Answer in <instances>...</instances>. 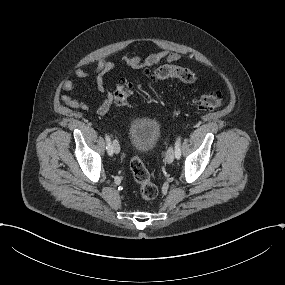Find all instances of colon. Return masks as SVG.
<instances>
[{
	"label": "colon",
	"instance_id": "1",
	"mask_svg": "<svg viewBox=\"0 0 285 285\" xmlns=\"http://www.w3.org/2000/svg\"><path fill=\"white\" fill-rule=\"evenodd\" d=\"M151 80H177L186 84H193L195 75L187 68L174 64H166L149 71ZM136 85L128 80H120L113 93V102L117 106H127ZM195 105L202 110H215L224 104L223 95L220 92L201 94L194 99ZM130 168L133 177L138 184L139 194L144 200H152L158 194L157 186L151 180V176L146 166L138 156H133L130 161Z\"/></svg>",
	"mask_w": 285,
	"mask_h": 285
}]
</instances>
